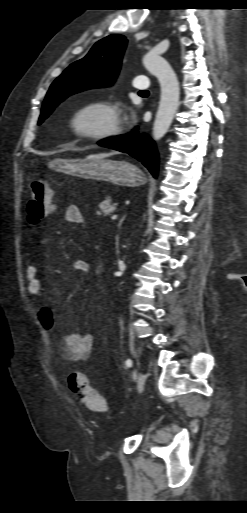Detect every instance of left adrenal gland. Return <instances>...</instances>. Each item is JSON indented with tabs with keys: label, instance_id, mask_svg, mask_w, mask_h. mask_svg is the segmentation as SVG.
Here are the masks:
<instances>
[{
	"label": "left adrenal gland",
	"instance_id": "a2214340",
	"mask_svg": "<svg viewBox=\"0 0 247 513\" xmlns=\"http://www.w3.org/2000/svg\"><path fill=\"white\" fill-rule=\"evenodd\" d=\"M124 219H125V216H124V217H122V218H121V220L119 221V224H118V228H119V229L121 228V225H122V223H123Z\"/></svg>",
	"mask_w": 247,
	"mask_h": 513
}]
</instances>
